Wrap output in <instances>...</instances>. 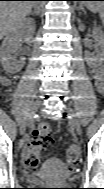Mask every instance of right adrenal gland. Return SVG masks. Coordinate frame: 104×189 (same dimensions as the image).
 Instances as JSON below:
<instances>
[{"label":"right adrenal gland","mask_w":104,"mask_h":189,"mask_svg":"<svg viewBox=\"0 0 104 189\" xmlns=\"http://www.w3.org/2000/svg\"><path fill=\"white\" fill-rule=\"evenodd\" d=\"M39 10L35 9L34 11L31 12V15H36L38 16L39 15Z\"/></svg>","instance_id":"obj_1"}]
</instances>
